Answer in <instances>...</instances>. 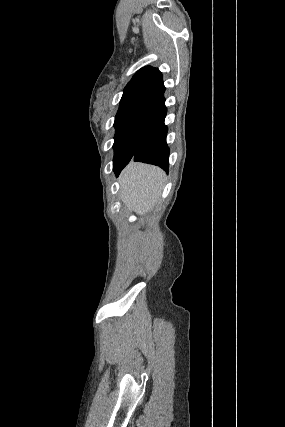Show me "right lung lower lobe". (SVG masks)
<instances>
[{"instance_id":"right-lung-lower-lobe-1","label":"right lung lower lobe","mask_w":285,"mask_h":427,"mask_svg":"<svg viewBox=\"0 0 285 427\" xmlns=\"http://www.w3.org/2000/svg\"><path fill=\"white\" fill-rule=\"evenodd\" d=\"M166 113L167 108L163 102L146 115L142 128V143L133 156V161L157 165L168 171L169 147L166 143L168 128L164 123ZM127 164L114 169L115 174L118 176Z\"/></svg>"}]
</instances>
